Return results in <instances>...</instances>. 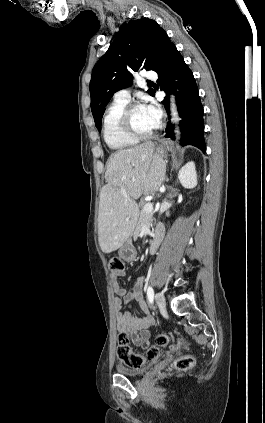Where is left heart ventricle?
<instances>
[{"label": "left heart ventricle", "instance_id": "left-heart-ventricle-1", "mask_svg": "<svg viewBox=\"0 0 265 423\" xmlns=\"http://www.w3.org/2000/svg\"><path fill=\"white\" fill-rule=\"evenodd\" d=\"M131 121L134 128L141 133L150 132L157 126L146 113L144 107L137 108L132 112Z\"/></svg>", "mask_w": 265, "mask_h": 423}]
</instances>
